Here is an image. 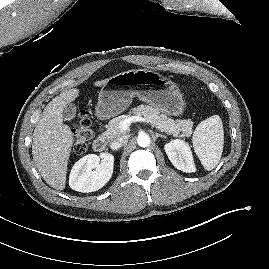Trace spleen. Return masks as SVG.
I'll return each instance as SVG.
<instances>
[{"mask_svg":"<svg viewBox=\"0 0 269 269\" xmlns=\"http://www.w3.org/2000/svg\"><path fill=\"white\" fill-rule=\"evenodd\" d=\"M196 155L203 167L210 171L219 163L224 145L223 123L218 115L200 122L192 138Z\"/></svg>","mask_w":269,"mask_h":269,"instance_id":"spleen-1","label":"spleen"}]
</instances>
